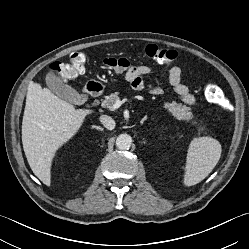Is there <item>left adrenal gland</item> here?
Instances as JSON below:
<instances>
[{"label":"left adrenal gland","instance_id":"obj_1","mask_svg":"<svg viewBox=\"0 0 249 249\" xmlns=\"http://www.w3.org/2000/svg\"><path fill=\"white\" fill-rule=\"evenodd\" d=\"M146 119H147V115L144 116V118L140 121V123L143 124Z\"/></svg>","mask_w":249,"mask_h":249}]
</instances>
